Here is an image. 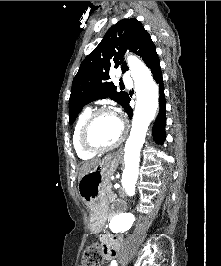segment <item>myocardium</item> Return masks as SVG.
Masks as SVG:
<instances>
[{
    "mask_svg": "<svg viewBox=\"0 0 221 266\" xmlns=\"http://www.w3.org/2000/svg\"><path fill=\"white\" fill-rule=\"evenodd\" d=\"M106 113L115 115V112L112 111L111 109L99 108V109H96L90 112V114L88 115V117L86 118V120L84 121L82 125L81 132H80V142H81L82 147L88 152L102 153V152H106L111 149H114L115 147L119 146L125 140L127 136V133H128L127 125L123 120H120L121 125H122V131L116 141L108 145H96L90 140V131H91L94 121L96 120L98 116L102 114H106Z\"/></svg>",
    "mask_w": 221,
    "mask_h": 266,
    "instance_id": "1",
    "label": "myocardium"
}]
</instances>
